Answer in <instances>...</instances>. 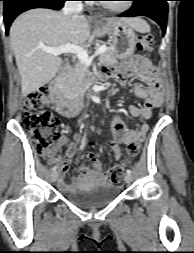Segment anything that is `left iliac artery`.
<instances>
[{
  "label": "left iliac artery",
  "instance_id": "1",
  "mask_svg": "<svg viewBox=\"0 0 194 253\" xmlns=\"http://www.w3.org/2000/svg\"><path fill=\"white\" fill-rule=\"evenodd\" d=\"M126 172H127L128 174H131V173H132V171H131L130 169H127Z\"/></svg>",
  "mask_w": 194,
  "mask_h": 253
}]
</instances>
